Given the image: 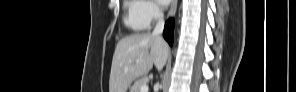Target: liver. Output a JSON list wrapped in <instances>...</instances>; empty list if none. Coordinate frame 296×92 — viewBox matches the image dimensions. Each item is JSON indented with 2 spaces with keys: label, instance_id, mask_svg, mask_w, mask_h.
Wrapping results in <instances>:
<instances>
[{
  "label": "liver",
  "instance_id": "6515ba94",
  "mask_svg": "<svg viewBox=\"0 0 296 92\" xmlns=\"http://www.w3.org/2000/svg\"><path fill=\"white\" fill-rule=\"evenodd\" d=\"M169 46L161 36L137 33L122 38L115 48L109 78V92H127L131 83L155 65L161 71Z\"/></svg>",
  "mask_w": 296,
  "mask_h": 92
}]
</instances>
